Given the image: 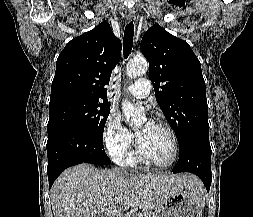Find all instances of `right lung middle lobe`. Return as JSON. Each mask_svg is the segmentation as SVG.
Listing matches in <instances>:
<instances>
[{
  "instance_id": "dd1d6c3e",
  "label": "right lung middle lobe",
  "mask_w": 253,
  "mask_h": 217,
  "mask_svg": "<svg viewBox=\"0 0 253 217\" xmlns=\"http://www.w3.org/2000/svg\"><path fill=\"white\" fill-rule=\"evenodd\" d=\"M110 105L100 100L69 98L49 103L48 134L65 128L84 130L103 138Z\"/></svg>"
}]
</instances>
